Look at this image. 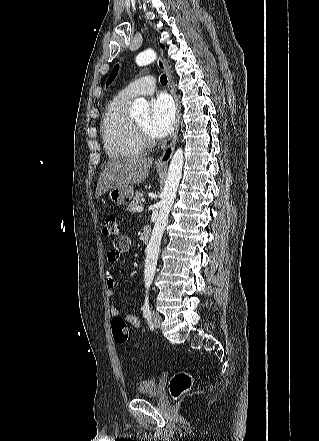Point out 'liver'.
Segmentation results:
<instances>
[{"label": "liver", "instance_id": "1", "mask_svg": "<svg viewBox=\"0 0 319 441\" xmlns=\"http://www.w3.org/2000/svg\"><path fill=\"white\" fill-rule=\"evenodd\" d=\"M153 164L151 157H125L111 159L100 174L95 197L116 187L129 186L143 182Z\"/></svg>", "mask_w": 319, "mask_h": 441}]
</instances>
